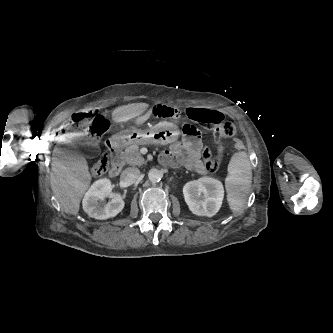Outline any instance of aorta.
<instances>
[{"instance_id":"762f6f07","label":"aorta","mask_w":333,"mask_h":333,"mask_svg":"<svg viewBox=\"0 0 333 333\" xmlns=\"http://www.w3.org/2000/svg\"><path fill=\"white\" fill-rule=\"evenodd\" d=\"M148 177L152 183H157L162 179V173L158 169H151L148 172Z\"/></svg>"}]
</instances>
